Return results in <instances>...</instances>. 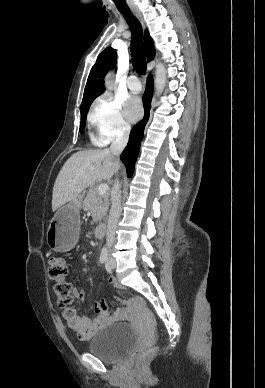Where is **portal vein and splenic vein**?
<instances>
[{"label":"portal vein and splenic vein","mask_w":265,"mask_h":388,"mask_svg":"<svg viewBox=\"0 0 265 388\" xmlns=\"http://www.w3.org/2000/svg\"><path fill=\"white\" fill-rule=\"evenodd\" d=\"M89 170H94L93 166H90ZM98 192L99 194H101V196H103V194H106V192H108L107 184H100Z\"/></svg>","instance_id":"18ae733b"}]
</instances>
